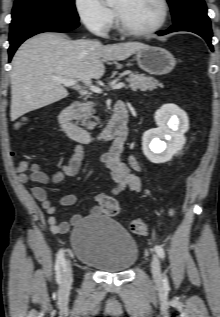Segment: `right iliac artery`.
Segmentation results:
<instances>
[{"instance_id": "obj_1", "label": "right iliac artery", "mask_w": 220, "mask_h": 317, "mask_svg": "<svg viewBox=\"0 0 220 317\" xmlns=\"http://www.w3.org/2000/svg\"><path fill=\"white\" fill-rule=\"evenodd\" d=\"M66 261L64 258L63 250H59L56 258V264H55V271H56V278L58 281L61 280L62 277V271H65ZM62 269V270H61Z\"/></svg>"}]
</instances>
